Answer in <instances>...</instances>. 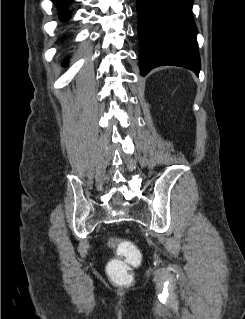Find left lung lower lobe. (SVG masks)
Masks as SVG:
<instances>
[{
    "mask_svg": "<svg viewBox=\"0 0 245 319\" xmlns=\"http://www.w3.org/2000/svg\"><path fill=\"white\" fill-rule=\"evenodd\" d=\"M194 0H137L140 70L175 65L199 73Z\"/></svg>",
    "mask_w": 245,
    "mask_h": 319,
    "instance_id": "0a47b994",
    "label": "left lung lower lobe"
}]
</instances>
